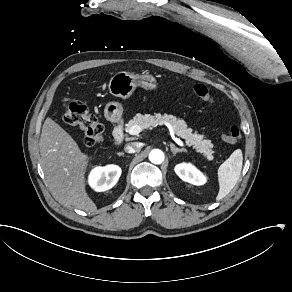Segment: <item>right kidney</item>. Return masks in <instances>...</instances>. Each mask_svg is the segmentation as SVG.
<instances>
[{
    "label": "right kidney",
    "mask_w": 292,
    "mask_h": 292,
    "mask_svg": "<svg viewBox=\"0 0 292 292\" xmlns=\"http://www.w3.org/2000/svg\"><path fill=\"white\" fill-rule=\"evenodd\" d=\"M120 176L121 169L118 166L96 168L90 175V185L96 191H106L118 182Z\"/></svg>",
    "instance_id": "right-kidney-1"
}]
</instances>
